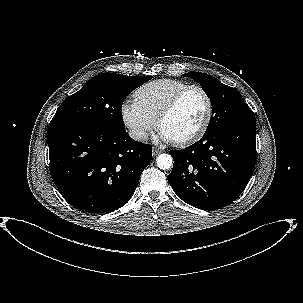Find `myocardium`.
<instances>
[{
    "label": "myocardium",
    "mask_w": 303,
    "mask_h": 303,
    "mask_svg": "<svg viewBox=\"0 0 303 303\" xmlns=\"http://www.w3.org/2000/svg\"><path fill=\"white\" fill-rule=\"evenodd\" d=\"M191 90L199 91L205 98L206 106H207L206 113H205V116H204L203 121L201 122L199 128L193 134H191L190 136H188L184 139L174 141V143L177 146H181V147L191 145V144L197 142L198 140H200L204 136V134L206 133V131L210 125L212 115H213V103H212V99H211L210 95L208 94V92L199 85H188V86L184 87L171 98V100L162 109V111L159 113V115L156 119L157 126L159 128H161L163 121L174 112V110L180 103L181 99Z\"/></svg>",
    "instance_id": "myocardium-1"
}]
</instances>
